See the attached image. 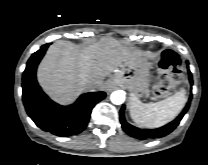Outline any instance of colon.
Returning <instances> with one entry per match:
<instances>
[{"instance_id": "1", "label": "colon", "mask_w": 208, "mask_h": 165, "mask_svg": "<svg viewBox=\"0 0 208 165\" xmlns=\"http://www.w3.org/2000/svg\"><path fill=\"white\" fill-rule=\"evenodd\" d=\"M181 60L176 52L166 50L159 62V73L156 77L153 92L161 97L171 92L181 79Z\"/></svg>"}]
</instances>
